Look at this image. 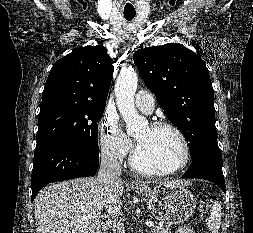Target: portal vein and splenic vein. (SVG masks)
Returning <instances> with one entry per match:
<instances>
[{
  "label": "portal vein and splenic vein",
  "mask_w": 253,
  "mask_h": 233,
  "mask_svg": "<svg viewBox=\"0 0 253 233\" xmlns=\"http://www.w3.org/2000/svg\"><path fill=\"white\" fill-rule=\"evenodd\" d=\"M146 225L149 226V227H152V226H153V223H152L150 220H147V221H146Z\"/></svg>",
  "instance_id": "portal-vein-and-splenic-vein-1"
}]
</instances>
